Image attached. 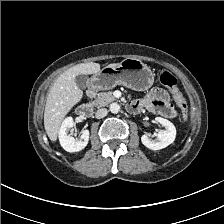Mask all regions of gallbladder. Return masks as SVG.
Segmentation results:
<instances>
[{
  "instance_id": "obj_1",
  "label": "gallbladder",
  "mask_w": 224,
  "mask_h": 224,
  "mask_svg": "<svg viewBox=\"0 0 224 224\" xmlns=\"http://www.w3.org/2000/svg\"><path fill=\"white\" fill-rule=\"evenodd\" d=\"M76 85L79 89H85L88 84V77L84 74H79L75 77Z\"/></svg>"
}]
</instances>
